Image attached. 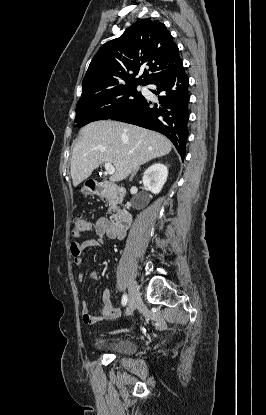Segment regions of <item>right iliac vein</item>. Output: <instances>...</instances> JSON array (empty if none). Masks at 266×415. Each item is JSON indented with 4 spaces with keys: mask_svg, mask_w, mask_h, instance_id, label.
Masks as SVG:
<instances>
[{
    "mask_svg": "<svg viewBox=\"0 0 266 415\" xmlns=\"http://www.w3.org/2000/svg\"><path fill=\"white\" fill-rule=\"evenodd\" d=\"M140 303V291L135 283L129 285V305L127 313L131 314Z\"/></svg>",
    "mask_w": 266,
    "mask_h": 415,
    "instance_id": "63e3f726",
    "label": "right iliac vein"
}]
</instances>
